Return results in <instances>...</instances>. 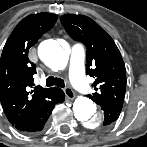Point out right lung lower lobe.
Returning <instances> with one entry per match:
<instances>
[{
  "label": "right lung lower lobe",
  "mask_w": 147,
  "mask_h": 147,
  "mask_svg": "<svg viewBox=\"0 0 147 147\" xmlns=\"http://www.w3.org/2000/svg\"><path fill=\"white\" fill-rule=\"evenodd\" d=\"M65 99L64 92L57 87L52 89V95L44 104H42L33 114L26 119L13 124V126L22 132H39L44 128L52 110L57 103H62Z\"/></svg>",
  "instance_id": "right-lung-lower-lobe-1"
}]
</instances>
